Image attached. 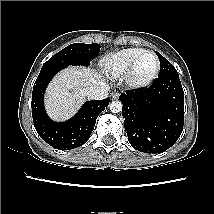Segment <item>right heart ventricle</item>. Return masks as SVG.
Returning <instances> with one entry per match:
<instances>
[{
    "label": "right heart ventricle",
    "mask_w": 214,
    "mask_h": 214,
    "mask_svg": "<svg viewBox=\"0 0 214 214\" xmlns=\"http://www.w3.org/2000/svg\"><path fill=\"white\" fill-rule=\"evenodd\" d=\"M144 51L142 48L123 49L105 56L101 60V66L107 75L119 78L126 74L132 62Z\"/></svg>",
    "instance_id": "e07e8e85"
}]
</instances>
